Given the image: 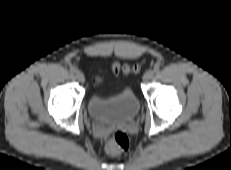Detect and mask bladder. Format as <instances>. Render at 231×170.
<instances>
[{"instance_id":"bladder-1","label":"bladder","mask_w":231,"mask_h":170,"mask_svg":"<svg viewBox=\"0 0 231 170\" xmlns=\"http://www.w3.org/2000/svg\"><path fill=\"white\" fill-rule=\"evenodd\" d=\"M139 106L134 91L125 87L110 97L92 94L88 101V112L95 124L112 127L131 121L137 115Z\"/></svg>"}]
</instances>
